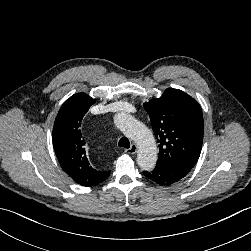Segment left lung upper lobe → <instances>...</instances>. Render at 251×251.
I'll list each match as a JSON object with an SVG mask.
<instances>
[{"label": "left lung upper lobe", "instance_id": "left-lung-upper-lobe-1", "mask_svg": "<svg viewBox=\"0 0 251 251\" xmlns=\"http://www.w3.org/2000/svg\"><path fill=\"white\" fill-rule=\"evenodd\" d=\"M159 143L157 164L189 172L202 148L204 122L200 105L181 90L166 89L161 98L144 103Z\"/></svg>", "mask_w": 251, "mask_h": 251}]
</instances>
